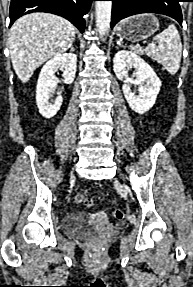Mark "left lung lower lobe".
<instances>
[{
	"instance_id": "left-lung-lower-lobe-1",
	"label": "left lung lower lobe",
	"mask_w": 193,
	"mask_h": 287,
	"mask_svg": "<svg viewBox=\"0 0 193 287\" xmlns=\"http://www.w3.org/2000/svg\"><path fill=\"white\" fill-rule=\"evenodd\" d=\"M111 28L121 19L141 13H158L170 16L182 26L180 0H111Z\"/></svg>"
}]
</instances>
